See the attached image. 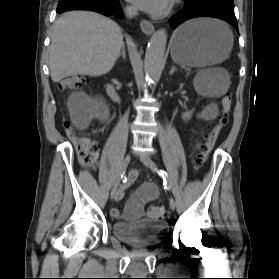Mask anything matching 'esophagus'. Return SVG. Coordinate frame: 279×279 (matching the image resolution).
Listing matches in <instances>:
<instances>
[{"mask_svg":"<svg viewBox=\"0 0 279 279\" xmlns=\"http://www.w3.org/2000/svg\"><path fill=\"white\" fill-rule=\"evenodd\" d=\"M140 27L143 33H145L146 35H151L154 32V26L148 20H142L140 22Z\"/></svg>","mask_w":279,"mask_h":279,"instance_id":"34e87169","label":"esophagus"}]
</instances>
